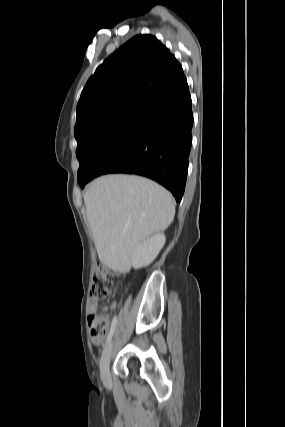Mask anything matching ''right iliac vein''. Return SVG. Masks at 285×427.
<instances>
[{"label": "right iliac vein", "mask_w": 285, "mask_h": 427, "mask_svg": "<svg viewBox=\"0 0 285 427\" xmlns=\"http://www.w3.org/2000/svg\"><path fill=\"white\" fill-rule=\"evenodd\" d=\"M111 352H112V342H110L104 349L101 359H100V375L104 382L110 381V358H111Z\"/></svg>", "instance_id": "63e3f726"}]
</instances>
